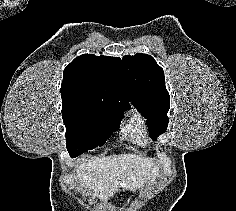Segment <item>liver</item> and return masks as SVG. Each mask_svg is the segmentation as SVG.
<instances>
[{
    "instance_id": "liver-1",
    "label": "liver",
    "mask_w": 236,
    "mask_h": 211,
    "mask_svg": "<svg viewBox=\"0 0 236 211\" xmlns=\"http://www.w3.org/2000/svg\"><path fill=\"white\" fill-rule=\"evenodd\" d=\"M159 175L158 166L136 154L93 158L82 162L76 174L81 187L93 191V197L104 202L120 188L135 190Z\"/></svg>"
}]
</instances>
